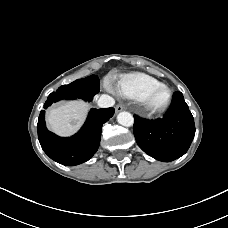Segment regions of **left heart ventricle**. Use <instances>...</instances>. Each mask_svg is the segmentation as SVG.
Masks as SVG:
<instances>
[{"mask_svg": "<svg viewBox=\"0 0 228 228\" xmlns=\"http://www.w3.org/2000/svg\"><path fill=\"white\" fill-rule=\"evenodd\" d=\"M165 98H166V92L164 90H159L153 95L151 99V103L153 106H159L164 102Z\"/></svg>", "mask_w": 228, "mask_h": 228, "instance_id": "obj_1", "label": "left heart ventricle"}]
</instances>
